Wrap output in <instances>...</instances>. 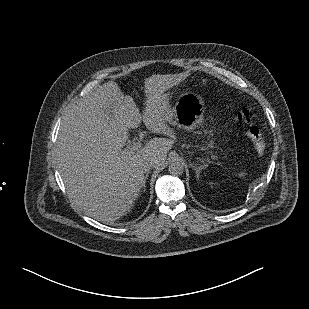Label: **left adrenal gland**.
<instances>
[{
  "label": "left adrenal gland",
  "mask_w": 309,
  "mask_h": 309,
  "mask_svg": "<svg viewBox=\"0 0 309 309\" xmlns=\"http://www.w3.org/2000/svg\"><path fill=\"white\" fill-rule=\"evenodd\" d=\"M194 170H195V172H196V175H197V177H199V175H200V167H198V166H194Z\"/></svg>",
  "instance_id": "obj_1"
}]
</instances>
